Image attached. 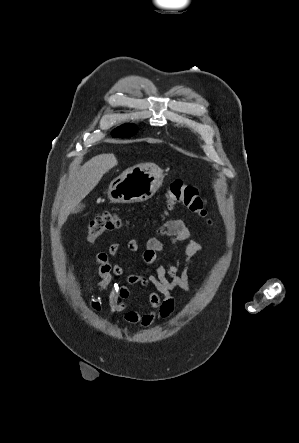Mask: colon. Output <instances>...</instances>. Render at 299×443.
<instances>
[{
    "instance_id": "colon-1",
    "label": "colon",
    "mask_w": 299,
    "mask_h": 443,
    "mask_svg": "<svg viewBox=\"0 0 299 443\" xmlns=\"http://www.w3.org/2000/svg\"><path fill=\"white\" fill-rule=\"evenodd\" d=\"M166 204L168 209L176 204H183L192 213L204 220L207 225L212 226L213 224L198 189L190 183L182 180L171 182L166 193ZM121 225L122 220L117 214L105 211L90 222L86 233L87 240L93 242L105 232L119 228Z\"/></svg>"
}]
</instances>
